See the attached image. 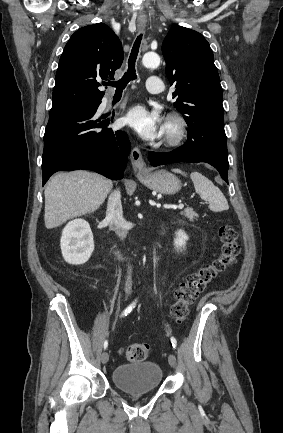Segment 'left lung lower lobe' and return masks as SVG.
Here are the masks:
<instances>
[{
	"mask_svg": "<svg viewBox=\"0 0 283 433\" xmlns=\"http://www.w3.org/2000/svg\"><path fill=\"white\" fill-rule=\"evenodd\" d=\"M151 165L178 162H206L214 166L228 183V152L224 128L203 124L189 127L187 142L171 152H149Z\"/></svg>",
	"mask_w": 283,
	"mask_h": 433,
	"instance_id": "left-lung-lower-lobe-1",
	"label": "left lung lower lobe"
}]
</instances>
